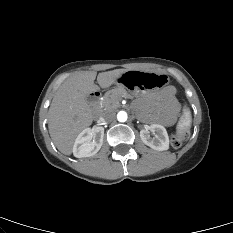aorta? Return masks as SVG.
<instances>
[{"label": "aorta", "instance_id": "obj_1", "mask_svg": "<svg viewBox=\"0 0 233 233\" xmlns=\"http://www.w3.org/2000/svg\"><path fill=\"white\" fill-rule=\"evenodd\" d=\"M127 118H128V116H127V113L125 111L118 112L117 120L119 122H125V121H127Z\"/></svg>", "mask_w": 233, "mask_h": 233}]
</instances>
